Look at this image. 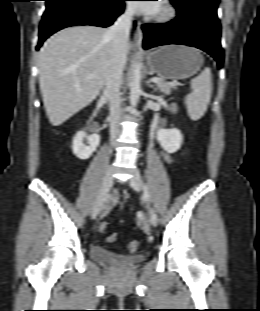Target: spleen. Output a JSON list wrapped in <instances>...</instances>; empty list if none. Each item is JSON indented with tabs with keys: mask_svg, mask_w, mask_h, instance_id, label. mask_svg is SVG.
Wrapping results in <instances>:
<instances>
[{
	"mask_svg": "<svg viewBox=\"0 0 260 311\" xmlns=\"http://www.w3.org/2000/svg\"><path fill=\"white\" fill-rule=\"evenodd\" d=\"M192 93L186 95L185 104L193 121L199 120L206 112L212 93L211 69L206 67L191 80Z\"/></svg>",
	"mask_w": 260,
	"mask_h": 311,
	"instance_id": "1",
	"label": "spleen"
}]
</instances>
